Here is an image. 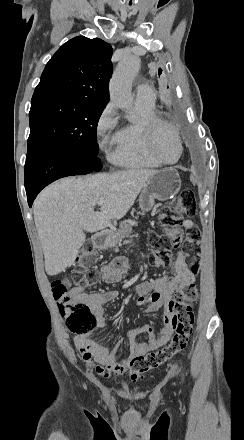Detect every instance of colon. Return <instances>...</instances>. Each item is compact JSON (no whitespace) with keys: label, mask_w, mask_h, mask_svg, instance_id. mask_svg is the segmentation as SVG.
<instances>
[{"label":"colon","mask_w":244,"mask_h":440,"mask_svg":"<svg viewBox=\"0 0 244 440\" xmlns=\"http://www.w3.org/2000/svg\"><path fill=\"white\" fill-rule=\"evenodd\" d=\"M196 213L195 194L190 189H183L173 204L162 208L158 220L159 230L151 233L148 238V243L155 254L153 258L155 264L166 265L169 262L168 252L181 246L188 269L194 274L199 272L202 252L200 228L189 223L183 230L184 219L194 218ZM163 229H166L167 232L162 234ZM95 263V251L86 248L76 266L77 275L83 270L87 272L86 278L81 280L83 284L97 283L98 275L94 270ZM50 286L52 296L58 303L60 310L68 312L70 330L71 319H94L96 317V312L88 310L87 304L73 303L64 280L56 279ZM198 297L199 288L195 285H185L176 293L174 301L169 305L171 324L174 330L170 341L158 351L148 352L133 358L130 362L131 377L142 380L144 373L161 367L186 349L193 331V302L197 301Z\"/></svg>","instance_id":"1"}]
</instances>
